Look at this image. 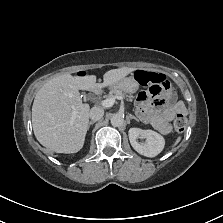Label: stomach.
I'll use <instances>...</instances> for the list:
<instances>
[{"label":"stomach","mask_w":223,"mask_h":223,"mask_svg":"<svg viewBox=\"0 0 223 223\" xmlns=\"http://www.w3.org/2000/svg\"><path fill=\"white\" fill-rule=\"evenodd\" d=\"M113 86L119 87V89L122 90H127L128 93H134L139 87V82L137 79L130 76L128 78L121 79Z\"/></svg>","instance_id":"obj_1"}]
</instances>
